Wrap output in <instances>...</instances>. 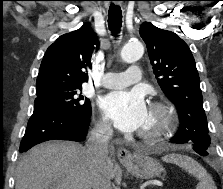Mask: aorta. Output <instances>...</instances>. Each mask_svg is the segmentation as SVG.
Here are the masks:
<instances>
[{
    "instance_id": "obj_1",
    "label": "aorta",
    "mask_w": 223,
    "mask_h": 189,
    "mask_svg": "<svg viewBox=\"0 0 223 189\" xmlns=\"http://www.w3.org/2000/svg\"><path fill=\"white\" fill-rule=\"evenodd\" d=\"M144 53V47L141 42L133 41L127 43L121 50V58L127 63H133L139 60Z\"/></svg>"
}]
</instances>
